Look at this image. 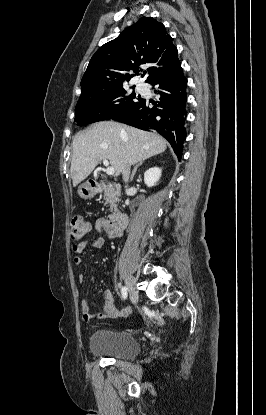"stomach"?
I'll use <instances>...</instances> for the list:
<instances>
[{
  "mask_svg": "<svg viewBox=\"0 0 266 415\" xmlns=\"http://www.w3.org/2000/svg\"><path fill=\"white\" fill-rule=\"evenodd\" d=\"M97 193L95 187H93L89 182L81 184L78 188V194L82 199L88 200L93 198Z\"/></svg>",
  "mask_w": 266,
  "mask_h": 415,
  "instance_id": "0dacf381",
  "label": "stomach"
}]
</instances>
